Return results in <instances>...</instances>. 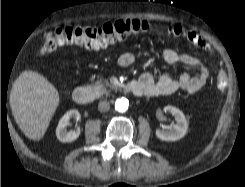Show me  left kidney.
<instances>
[{"mask_svg":"<svg viewBox=\"0 0 245 187\" xmlns=\"http://www.w3.org/2000/svg\"><path fill=\"white\" fill-rule=\"evenodd\" d=\"M165 112L171 113L175 120L176 124H172L171 126L167 127V129H158L156 130V136L162 141H177L183 138L186 134L188 128V122L178 108L173 106H165Z\"/></svg>","mask_w":245,"mask_h":187,"instance_id":"obj_1","label":"left kidney"}]
</instances>
